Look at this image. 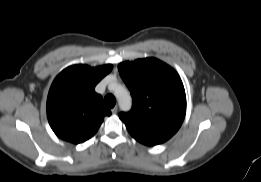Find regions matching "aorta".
I'll list each match as a JSON object with an SVG mask.
<instances>
[{
  "label": "aorta",
  "instance_id": "obj_1",
  "mask_svg": "<svg viewBox=\"0 0 261 182\" xmlns=\"http://www.w3.org/2000/svg\"><path fill=\"white\" fill-rule=\"evenodd\" d=\"M114 95L118 100L119 107L122 111H129L132 106V99L128 90L120 85L114 84Z\"/></svg>",
  "mask_w": 261,
  "mask_h": 182
}]
</instances>
